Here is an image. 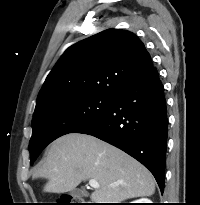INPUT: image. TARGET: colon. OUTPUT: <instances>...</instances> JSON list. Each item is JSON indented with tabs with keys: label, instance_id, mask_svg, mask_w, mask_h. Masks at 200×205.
<instances>
[{
	"label": "colon",
	"instance_id": "colon-1",
	"mask_svg": "<svg viewBox=\"0 0 200 205\" xmlns=\"http://www.w3.org/2000/svg\"><path fill=\"white\" fill-rule=\"evenodd\" d=\"M54 205H85V203L79 197L65 195Z\"/></svg>",
	"mask_w": 200,
	"mask_h": 205
}]
</instances>
